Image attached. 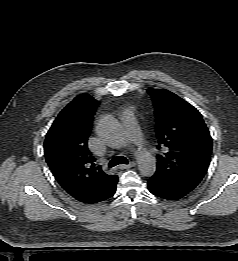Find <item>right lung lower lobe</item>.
Instances as JSON below:
<instances>
[{"label":"right lung lower lobe","mask_w":238,"mask_h":261,"mask_svg":"<svg viewBox=\"0 0 238 261\" xmlns=\"http://www.w3.org/2000/svg\"><path fill=\"white\" fill-rule=\"evenodd\" d=\"M116 184H117V181L115 183H113L104 194H102L100 197L95 199V201L93 203L104 201V200L110 198L111 196H113L116 191ZM93 203H91V204H93Z\"/></svg>","instance_id":"obj_1"}]
</instances>
